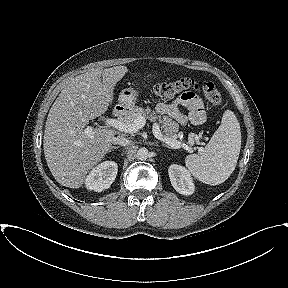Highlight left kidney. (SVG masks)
Listing matches in <instances>:
<instances>
[{
	"label": "left kidney",
	"mask_w": 288,
	"mask_h": 288,
	"mask_svg": "<svg viewBox=\"0 0 288 288\" xmlns=\"http://www.w3.org/2000/svg\"><path fill=\"white\" fill-rule=\"evenodd\" d=\"M169 178L174 189L183 195L194 192V184L189 172L182 166L173 164L168 169Z\"/></svg>",
	"instance_id": "5707ae66"
}]
</instances>
